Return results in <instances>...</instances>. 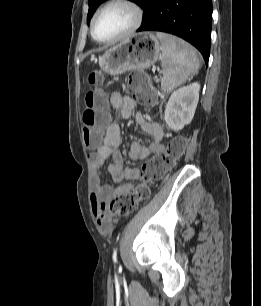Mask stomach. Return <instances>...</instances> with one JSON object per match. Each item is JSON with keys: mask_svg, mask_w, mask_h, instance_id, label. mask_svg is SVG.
I'll return each mask as SVG.
<instances>
[{"mask_svg": "<svg viewBox=\"0 0 261 306\" xmlns=\"http://www.w3.org/2000/svg\"><path fill=\"white\" fill-rule=\"evenodd\" d=\"M161 45L151 32L133 34L109 48L98 58L100 68L107 74L119 75L131 70H145L160 57Z\"/></svg>", "mask_w": 261, "mask_h": 306, "instance_id": "1", "label": "stomach"}]
</instances>
